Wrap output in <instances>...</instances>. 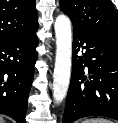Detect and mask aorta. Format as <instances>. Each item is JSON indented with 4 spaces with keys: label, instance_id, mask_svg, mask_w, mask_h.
Returning <instances> with one entry per match:
<instances>
[{
    "label": "aorta",
    "instance_id": "aorta-1",
    "mask_svg": "<svg viewBox=\"0 0 118 123\" xmlns=\"http://www.w3.org/2000/svg\"><path fill=\"white\" fill-rule=\"evenodd\" d=\"M56 58L53 74V99L60 103L66 97L70 76L72 57L71 21L66 15L57 16L55 23Z\"/></svg>",
    "mask_w": 118,
    "mask_h": 123
}]
</instances>
